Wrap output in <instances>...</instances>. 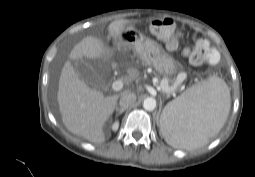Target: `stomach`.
<instances>
[{
	"instance_id": "0dacf381",
	"label": "stomach",
	"mask_w": 255,
	"mask_h": 177,
	"mask_svg": "<svg viewBox=\"0 0 255 177\" xmlns=\"http://www.w3.org/2000/svg\"><path fill=\"white\" fill-rule=\"evenodd\" d=\"M121 45L131 49L142 61L152 65L163 75H173L177 71V62L159 44L132 25L123 30Z\"/></svg>"
}]
</instances>
